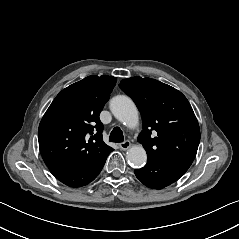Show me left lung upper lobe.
<instances>
[{
  "mask_svg": "<svg viewBox=\"0 0 239 239\" xmlns=\"http://www.w3.org/2000/svg\"><path fill=\"white\" fill-rule=\"evenodd\" d=\"M119 87L139 108L143 130L138 136L147 158L194 160L200 142V129L186 97L175 88L151 78L123 79ZM156 131L157 136L151 132ZM154 137V138H153Z\"/></svg>",
  "mask_w": 239,
  "mask_h": 239,
  "instance_id": "5c2ea615",
  "label": "left lung upper lobe"
}]
</instances>
